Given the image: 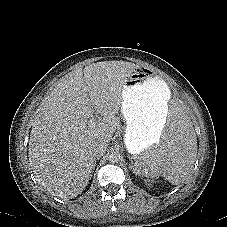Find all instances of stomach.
Masks as SVG:
<instances>
[{
	"label": "stomach",
	"mask_w": 227,
	"mask_h": 227,
	"mask_svg": "<svg viewBox=\"0 0 227 227\" xmlns=\"http://www.w3.org/2000/svg\"><path fill=\"white\" fill-rule=\"evenodd\" d=\"M167 83L144 66L132 68L122 92L121 115L125 122V144L137 159L144 151L157 152L168 128Z\"/></svg>",
	"instance_id": "stomach-1"
}]
</instances>
